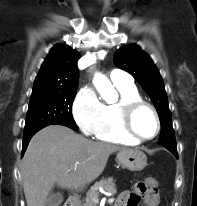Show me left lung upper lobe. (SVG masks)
Returning <instances> with one entry per match:
<instances>
[{
  "label": "left lung upper lobe",
  "mask_w": 197,
  "mask_h": 206,
  "mask_svg": "<svg viewBox=\"0 0 197 206\" xmlns=\"http://www.w3.org/2000/svg\"><path fill=\"white\" fill-rule=\"evenodd\" d=\"M114 63L118 68L130 73L153 101L161 123L158 143L163 146H176L165 87L152 59L137 45L132 44L115 52Z\"/></svg>",
  "instance_id": "1"
}]
</instances>
